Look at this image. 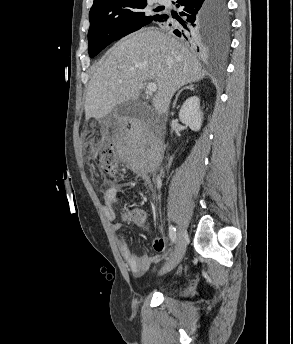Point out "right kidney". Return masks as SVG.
<instances>
[{
  "mask_svg": "<svg viewBox=\"0 0 293 344\" xmlns=\"http://www.w3.org/2000/svg\"><path fill=\"white\" fill-rule=\"evenodd\" d=\"M180 121L193 131L201 128L203 113L200 110V99L197 96L188 98L179 111Z\"/></svg>",
  "mask_w": 293,
  "mask_h": 344,
  "instance_id": "right-kidney-1",
  "label": "right kidney"
}]
</instances>
